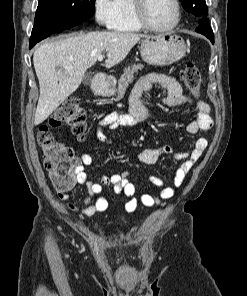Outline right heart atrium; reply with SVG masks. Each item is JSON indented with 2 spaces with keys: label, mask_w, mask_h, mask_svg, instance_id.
<instances>
[{
  "label": "right heart atrium",
  "mask_w": 247,
  "mask_h": 296,
  "mask_svg": "<svg viewBox=\"0 0 247 296\" xmlns=\"http://www.w3.org/2000/svg\"><path fill=\"white\" fill-rule=\"evenodd\" d=\"M117 14L116 0H93V15L100 26L112 28Z\"/></svg>",
  "instance_id": "right-heart-atrium-1"
}]
</instances>
